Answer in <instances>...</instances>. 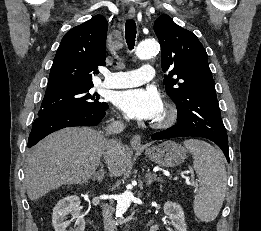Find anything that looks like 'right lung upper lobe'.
Here are the masks:
<instances>
[{
  "label": "right lung upper lobe",
  "instance_id": "obj_1",
  "mask_svg": "<svg viewBox=\"0 0 261 231\" xmlns=\"http://www.w3.org/2000/svg\"><path fill=\"white\" fill-rule=\"evenodd\" d=\"M107 21L102 15L69 30L56 52L48 87H85L93 85L97 66H104Z\"/></svg>",
  "mask_w": 261,
  "mask_h": 231
}]
</instances>
